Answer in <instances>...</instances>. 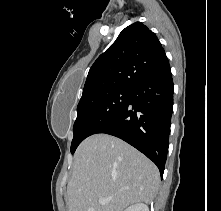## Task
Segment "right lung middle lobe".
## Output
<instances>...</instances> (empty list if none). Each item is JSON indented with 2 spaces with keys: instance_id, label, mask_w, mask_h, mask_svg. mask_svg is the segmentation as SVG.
Returning a JSON list of instances; mask_svg holds the SVG:
<instances>
[{
  "instance_id": "right-lung-middle-lobe-1",
  "label": "right lung middle lobe",
  "mask_w": 221,
  "mask_h": 211,
  "mask_svg": "<svg viewBox=\"0 0 221 211\" xmlns=\"http://www.w3.org/2000/svg\"><path fill=\"white\" fill-rule=\"evenodd\" d=\"M130 95L131 88H120L80 100L73 126L71 153L75 152L85 138L95 134L108 123L124 107Z\"/></svg>"
}]
</instances>
